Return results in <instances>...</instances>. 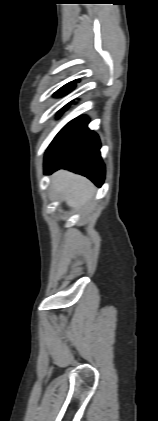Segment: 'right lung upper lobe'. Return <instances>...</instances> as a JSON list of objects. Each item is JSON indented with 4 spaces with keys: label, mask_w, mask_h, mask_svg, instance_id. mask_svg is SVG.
<instances>
[{
    "label": "right lung upper lobe",
    "mask_w": 158,
    "mask_h": 421,
    "mask_svg": "<svg viewBox=\"0 0 158 421\" xmlns=\"http://www.w3.org/2000/svg\"><path fill=\"white\" fill-rule=\"evenodd\" d=\"M76 82H78V80H76ZM65 86H75V83L70 82V83L66 84Z\"/></svg>",
    "instance_id": "cb5924a9"
}]
</instances>
